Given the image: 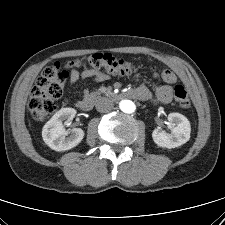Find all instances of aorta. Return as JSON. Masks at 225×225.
Wrapping results in <instances>:
<instances>
[{
	"instance_id": "1",
	"label": "aorta",
	"mask_w": 225,
	"mask_h": 225,
	"mask_svg": "<svg viewBox=\"0 0 225 225\" xmlns=\"http://www.w3.org/2000/svg\"><path fill=\"white\" fill-rule=\"evenodd\" d=\"M119 106L125 113H133L136 109V105L131 100H122Z\"/></svg>"
}]
</instances>
